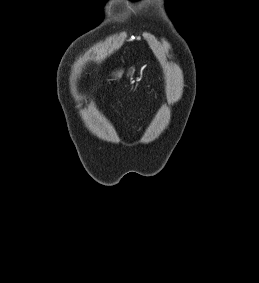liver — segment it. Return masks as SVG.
I'll return each mask as SVG.
<instances>
[{"label":"liver","mask_w":259,"mask_h":283,"mask_svg":"<svg viewBox=\"0 0 259 283\" xmlns=\"http://www.w3.org/2000/svg\"><path fill=\"white\" fill-rule=\"evenodd\" d=\"M121 74H122V73H121V72H119V73H118V76L120 77V76H121Z\"/></svg>","instance_id":"6515ba94"}]
</instances>
